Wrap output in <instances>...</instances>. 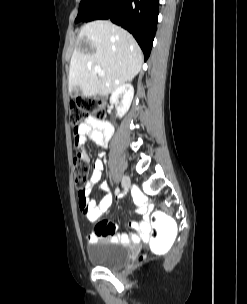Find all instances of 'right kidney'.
Wrapping results in <instances>:
<instances>
[{
	"label": "right kidney",
	"instance_id": "obj_1",
	"mask_svg": "<svg viewBox=\"0 0 247 304\" xmlns=\"http://www.w3.org/2000/svg\"><path fill=\"white\" fill-rule=\"evenodd\" d=\"M134 96V88L130 83L120 85L111 95L110 102L115 104L119 118H122L130 108ZM121 101L119 102V99Z\"/></svg>",
	"mask_w": 247,
	"mask_h": 304
}]
</instances>
